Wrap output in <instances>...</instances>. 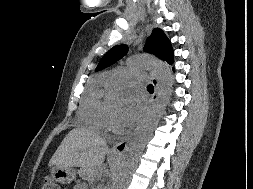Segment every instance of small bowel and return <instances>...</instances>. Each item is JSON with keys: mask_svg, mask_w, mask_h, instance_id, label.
Wrapping results in <instances>:
<instances>
[{"mask_svg": "<svg viewBox=\"0 0 253 189\" xmlns=\"http://www.w3.org/2000/svg\"><path fill=\"white\" fill-rule=\"evenodd\" d=\"M74 189H86V187L83 184H78L74 187Z\"/></svg>", "mask_w": 253, "mask_h": 189, "instance_id": "small-bowel-1", "label": "small bowel"}]
</instances>
